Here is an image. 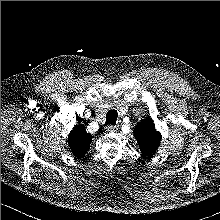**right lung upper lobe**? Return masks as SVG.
<instances>
[{
	"label": "right lung upper lobe",
	"instance_id": "obj_1",
	"mask_svg": "<svg viewBox=\"0 0 220 220\" xmlns=\"http://www.w3.org/2000/svg\"><path fill=\"white\" fill-rule=\"evenodd\" d=\"M68 142L72 153L77 157H83L92 142V135L86 132L84 125H76L69 133Z\"/></svg>",
	"mask_w": 220,
	"mask_h": 220
}]
</instances>
